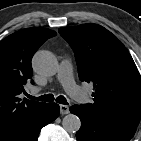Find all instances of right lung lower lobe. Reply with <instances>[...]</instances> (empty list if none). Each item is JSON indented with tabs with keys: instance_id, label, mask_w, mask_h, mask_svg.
<instances>
[{
	"instance_id": "98d812e1",
	"label": "right lung lower lobe",
	"mask_w": 141,
	"mask_h": 141,
	"mask_svg": "<svg viewBox=\"0 0 141 141\" xmlns=\"http://www.w3.org/2000/svg\"><path fill=\"white\" fill-rule=\"evenodd\" d=\"M59 110V105L56 103H46L16 131L0 141H37L41 129L58 117Z\"/></svg>"
}]
</instances>
